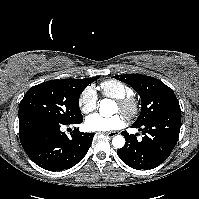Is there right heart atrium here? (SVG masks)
<instances>
[{
	"mask_svg": "<svg viewBox=\"0 0 199 199\" xmlns=\"http://www.w3.org/2000/svg\"><path fill=\"white\" fill-rule=\"evenodd\" d=\"M79 107L81 111L88 114L97 107V95L93 87L85 88L79 97Z\"/></svg>",
	"mask_w": 199,
	"mask_h": 199,
	"instance_id": "obj_1",
	"label": "right heart atrium"
}]
</instances>
